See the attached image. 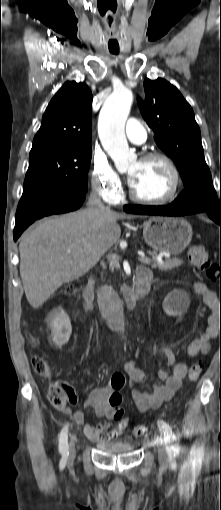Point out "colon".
<instances>
[{
    "mask_svg": "<svg viewBox=\"0 0 221 510\" xmlns=\"http://www.w3.org/2000/svg\"><path fill=\"white\" fill-rule=\"evenodd\" d=\"M189 261L197 267L210 281L217 283L220 286L221 293V263L217 264L213 262L207 250L202 246H193L189 248L187 253ZM69 293L74 291L72 286L67 288ZM220 308H221V299H220ZM33 345H37V341L31 337ZM32 367L34 371L45 378L50 377L51 370L48 362L41 355H35L31 361ZM201 373V366L199 363H196L191 366L188 379L190 381H196ZM126 384V379L123 373L114 372L111 375L110 386L113 389L114 393L110 397V403L113 406L118 407L115 411V420L119 422V426L121 429H124L128 426L129 420L124 415V411L120 408V404L122 402V396L120 394V390L124 388ZM48 400L50 404L59 410H63L66 408L68 403L75 404L78 401V397L74 391V389L69 386L65 382H55L53 383L48 391ZM147 430L144 426H136L133 429V435L135 437H142L146 434ZM108 437V436H106ZM105 438L103 442H107Z\"/></svg>",
    "mask_w": 221,
    "mask_h": 510,
    "instance_id": "5ec220e1",
    "label": "colon"
}]
</instances>
